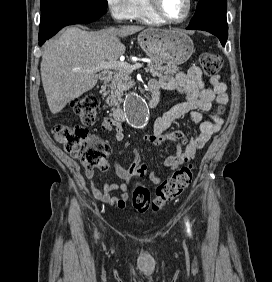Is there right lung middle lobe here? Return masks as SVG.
I'll return each mask as SVG.
<instances>
[{
    "instance_id": "1",
    "label": "right lung middle lobe",
    "mask_w": 272,
    "mask_h": 282,
    "mask_svg": "<svg viewBox=\"0 0 272 282\" xmlns=\"http://www.w3.org/2000/svg\"><path fill=\"white\" fill-rule=\"evenodd\" d=\"M70 5L100 6L103 8L108 7L107 0H41V13L53 8Z\"/></svg>"
}]
</instances>
